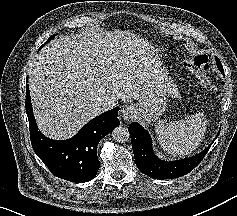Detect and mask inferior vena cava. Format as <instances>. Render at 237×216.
I'll return each instance as SVG.
<instances>
[{"label": "inferior vena cava", "mask_w": 237, "mask_h": 216, "mask_svg": "<svg viewBox=\"0 0 237 216\" xmlns=\"http://www.w3.org/2000/svg\"><path fill=\"white\" fill-rule=\"evenodd\" d=\"M117 103H118V99H110L108 96L101 97V99H100V104H101L102 110L110 109V108L116 106Z\"/></svg>", "instance_id": "obj_1"}]
</instances>
